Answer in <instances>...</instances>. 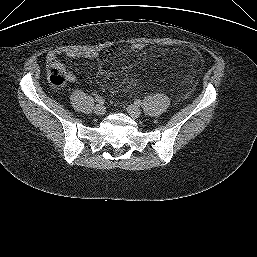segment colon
I'll return each mask as SVG.
<instances>
[{
  "mask_svg": "<svg viewBox=\"0 0 257 257\" xmlns=\"http://www.w3.org/2000/svg\"><path fill=\"white\" fill-rule=\"evenodd\" d=\"M130 47L134 51H142L146 48V44L133 42L130 44ZM48 77L49 81L55 86H63L68 80L65 69L57 62L48 65Z\"/></svg>",
  "mask_w": 257,
  "mask_h": 257,
  "instance_id": "obj_1",
  "label": "colon"
}]
</instances>
